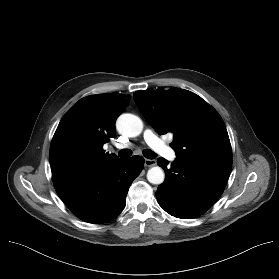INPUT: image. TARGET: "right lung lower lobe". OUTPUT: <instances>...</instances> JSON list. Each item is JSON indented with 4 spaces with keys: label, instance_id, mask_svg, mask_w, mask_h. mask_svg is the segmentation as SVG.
Segmentation results:
<instances>
[{
    "label": "right lung lower lobe",
    "instance_id": "98d812e1",
    "mask_svg": "<svg viewBox=\"0 0 279 279\" xmlns=\"http://www.w3.org/2000/svg\"><path fill=\"white\" fill-rule=\"evenodd\" d=\"M143 166L141 156L119 159L106 168L54 187L78 218L101 224L113 220L125 208L128 189Z\"/></svg>",
    "mask_w": 279,
    "mask_h": 279
}]
</instances>
